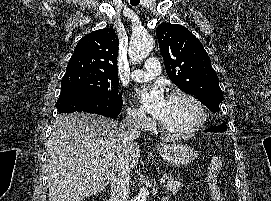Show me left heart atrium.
I'll list each match as a JSON object with an SVG mask.
<instances>
[{
  "mask_svg": "<svg viewBox=\"0 0 271 201\" xmlns=\"http://www.w3.org/2000/svg\"><path fill=\"white\" fill-rule=\"evenodd\" d=\"M142 108L154 118L160 119L165 111L167 98L158 86H143L136 91Z\"/></svg>",
  "mask_w": 271,
  "mask_h": 201,
  "instance_id": "obj_1",
  "label": "left heart atrium"
}]
</instances>
